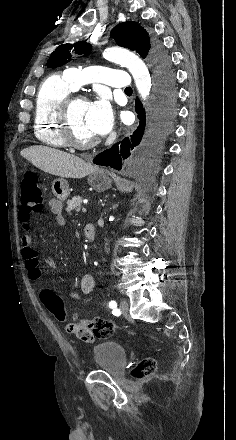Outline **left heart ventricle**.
<instances>
[{"mask_svg":"<svg viewBox=\"0 0 236 440\" xmlns=\"http://www.w3.org/2000/svg\"><path fill=\"white\" fill-rule=\"evenodd\" d=\"M89 103L76 102L71 109V124L75 137L79 141H87L96 138V134L88 120Z\"/></svg>","mask_w":236,"mask_h":440,"instance_id":"1","label":"left heart ventricle"}]
</instances>
